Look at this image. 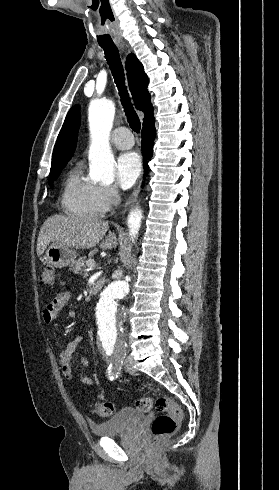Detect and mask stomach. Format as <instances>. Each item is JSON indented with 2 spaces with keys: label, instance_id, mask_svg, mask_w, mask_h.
I'll return each mask as SVG.
<instances>
[{
  "label": "stomach",
  "instance_id": "obj_1",
  "mask_svg": "<svg viewBox=\"0 0 279 490\" xmlns=\"http://www.w3.org/2000/svg\"><path fill=\"white\" fill-rule=\"evenodd\" d=\"M76 258L77 254L74 250H68L59 244H52L45 252V260L53 268H66L69 264L76 262Z\"/></svg>",
  "mask_w": 279,
  "mask_h": 490
}]
</instances>
